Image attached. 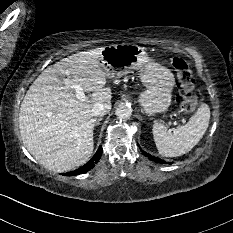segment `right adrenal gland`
I'll use <instances>...</instances> for the list:
<instances>
[{"mask_svg":"<svg viewBox=\"0 0 233 233\" xmlns=\"http://www.w3.org/2000/svg\"><path fill=\"white\" fill-rule=\"evenodd\" d=\"M102 120V118H98L95 122V126H97L99 124V122Z\"/></svg>","mask_w":233,"mask_h":233,"instance_id":"1","label":"right adrenal gland"}]
</instances>
